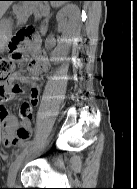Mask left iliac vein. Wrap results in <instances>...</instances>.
Wrapping results in <instances>:
<instances>
[{
    "mask_svg": "<svg viewBox=\"0 0 137 189\" xmlns=\"http://www.w3.org/2000/svg\"><path fill=\"white\" fill-rule=\"evenodd\" d=\"M32 153V149H27L23 151L16 159L15 161L11 164L8 176H7V185L8 186H13L16 181V176L18 173V170L20 166L22 165L23 161Z\"/></svg>",
    "mask_w": 137,
    "mask_h": 189,
    "instance_id": "4c4485c4",
    "label": "left iliac vein"
}]
</instances>
